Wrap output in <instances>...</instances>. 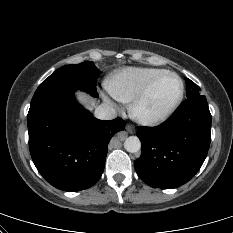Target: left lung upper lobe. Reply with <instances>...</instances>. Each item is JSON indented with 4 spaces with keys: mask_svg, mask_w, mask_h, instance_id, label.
Returning a JSON list of instances; mask_svg holds the SVG:
<instances>
[{
    "mask_svg": "<svg viewBox=\"0 0 233 233\" xmlns=\"http://www.w3.org/2000/svg\"><path fill=\"white\" fill-rule=\"evenodd\" d=\"M185 82L187 84V89H186V96L187 98H193L198 95H200V88L197 86L194 82H192L190 79H185Z\"/></svg>",
    "mask_w": 233,
    "mask_h": 233,
    "instance_id": "5c2ea615",
    "label": "left lung upper lobe"
}]
</instances>
